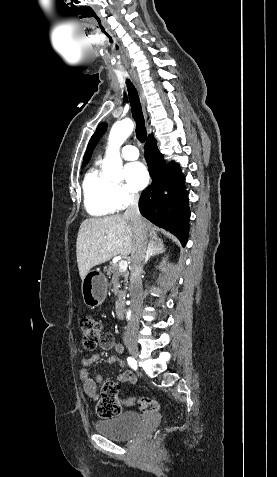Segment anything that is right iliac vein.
<instances>
[{"mask_svg":"<svg viewBox=\"0 0 277 477\" xmlns=\"http://www.w3.org/2000/svg\"><path fill=\"white\" fill-rule=\"evenodd\" d=\"M126 346L128 348L129 353L131 354V356L133 358L137 359L138 356H139V349H138L137 344L134 341H127Z\"/></svg>","mask_w":277,"mask_h":477,"instance_id":"obj_1","label":"right iliac vein"}]
</instances>
